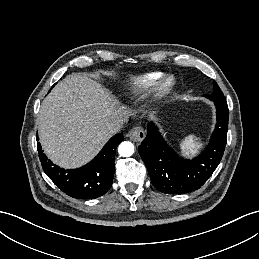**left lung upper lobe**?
<instances>
[{"instance_id": "5c2ea615", "label": "left lung upper lobe", "mask_w": 259, "mask_h": 259, "mask_svg": "<svg viewBox=\"0 0 259 259\" xmlns=\"http://www.w3.org/2000/svg\"><path fill=\"white\" fill-rule=\"evenodd\" d=\"M214 91L213 93L207 94L206 97L209 98L212 101H224L225 97L221 91V89L219 88L218 84L214 81Z\"/></svg>"}]
</instances>
